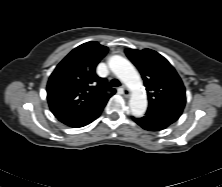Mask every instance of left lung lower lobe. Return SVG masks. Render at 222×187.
<instances>
[{
    "label": "left lung lower lobe",
    "mask_w": 222,
    "mask_h": 187,
    "mask_svg": "<svg viewBox=\"0 0 222 187\" xmlns=\"http://www.w3.org/2000/svg\"><path fill=\"white\" fill-rule=\"evenodd\" d=\"M182 111L171 107L148 108L144 117L133 118V120L145 130L159 131L175 122Z\"/></svg>",
    "instance_id": "left-lung-lower-lobe-1"
}]
</instances>
